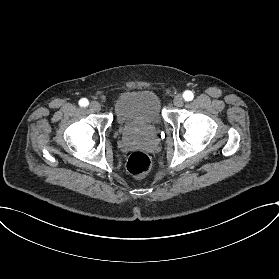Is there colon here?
I'll return each mask as SVG.
<instances>
[{"instance_id": "obj_1", "label": "colon", "mask_w": 279, "mask_h": 279, "mask_svg": "<svg viewBox=\"0 0 279 279\" xmlns=\"http://www.w3.org/2000/svg\"><path fill=\"white\" fill-rule=\"evenodd\" d=\"M151 166V161L149 157L141 152V151H136L133 152L126 163V168L127 171L132 175V176H141L146 174Z\"/></svg>"}]
</instances>
